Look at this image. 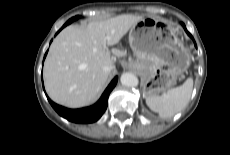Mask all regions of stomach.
<instances>
[{
	"instance_id": "obj_1",
	"label": "stomach",
	"mask_w": 230,
	"mask_h": 155,
	"mask_svg": "<svg viewBox=\"0 0 230 155\" xmlns=\"http://www.w3.org/2000/svg\"><path fill=\"white\" fill-rule=\"evenodd\" d=\"M129 42L144 77L145 97L159 95L176 83L190 63L177 30L164 19L147 17L132 26Z\"/></svg>"
}]
</instances>
